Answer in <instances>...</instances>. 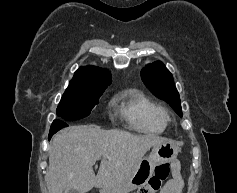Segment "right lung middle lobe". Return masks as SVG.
Wrapping results in <instances>:
<instances>
[{
    "instance_id": "obj_1",
    "label": "right lung middle lobe",
    "mask_w": 237,
    "mask_h": 193,
    "mask_svg": "<svg viewBox=\"0 0 237 193\" xmlns=\"http://www.w3.org/2000/svg\"><path fill=\"white\" fill-rule=\"evenodd\" d=\"M104 90L68 86L58 105L57 115L70 121L88 116Z\"/></svg>"
}]
</instances>
